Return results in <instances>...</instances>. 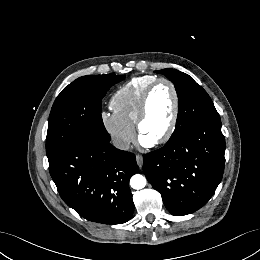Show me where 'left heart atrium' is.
I'll use <instances>...</instances> for the list:
<instances>
[{"label": "left heart atrium", "mask_w": 260, "mask_h": 260, "mask_svg": "<svg viewBox=\"0 0 260 260\" xmlns=\"http://www.w3.org/2000/svg\"><path fill=\"white\" fill-rule=\"evenodd\" d=\"M139 141H140V143L143 145V146H151V145H153V140L152 139H149V138H147V137H145V136H140V139H139Z\"/></svg>", "instance_id": "obj_1"}]
</instances>
